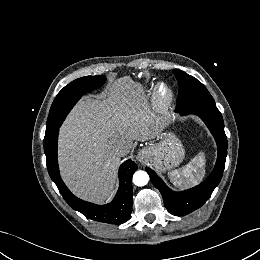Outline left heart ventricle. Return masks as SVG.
I'll list each match as a JSON object with an SVG mask.
<instances>
[{"label": "left heart ventricle", "mask_w": 260, "mask_h": 260, "mask_svg": "<svg viewBox=\"0 0 260 260\" xmlns=\"http://www.w3.org/2000/svg\"><path fill=\"white\" fill-rule=\"evenodd\" d=\"M162 95H166V92L162 91Z\"/></svg>", "instance_id": "b2bd125f"}]
</instances>
